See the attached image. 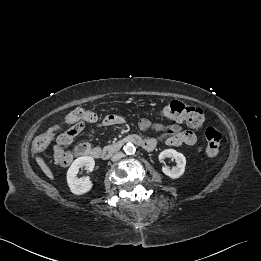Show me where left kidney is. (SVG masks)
Segmentation results:
<instances>
[{"instance_id":"5707ae66","label":"left kidney","mask_w":261,"mask_h":261,"mask_svg":"<svg viewBox=\"0 0 261 261\" xmlns=\"http://www.w3.org/2000/svg\"><path fill=\"white\" fill-rule=\"evenodd\" d=\"M165 158H174L176 162V166L173 167L172 169L168 167H163L162 168L163 173L172 179L179 178L185 171V166H186L185 156L174 149H166L159 154L160 161H162Z\"/></svg>"}]
</instances>
